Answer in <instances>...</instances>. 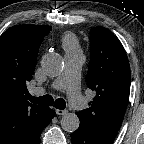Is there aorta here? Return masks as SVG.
<instances>
[{
    "label": "aorta",
    "mask_w": 144,
    "mask_h": 144,
    "mask_svg": "<svg viewBox=\"0 0 144 144\" xmlns=\"http://www.w3.org/2000/svg\"><path fill=\"white\" fill-rule=\"evenodd\" d=\"M43 71L51 77L61 74L64 68L62 57L57 53H48L41 61ZM61 127L66 132L72 133L79 128L80 120L75 113H67L61 119Z\"/></svg>",
    "instance_id": "aorta-1"
}]
</instances>
